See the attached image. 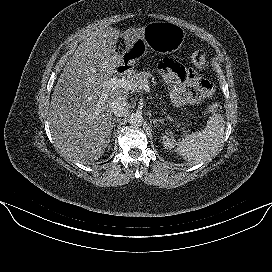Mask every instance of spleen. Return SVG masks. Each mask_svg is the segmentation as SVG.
I'll return each mask as SVG.
<instances>
[{
    "label": "spleen",
    "mask_w": 272,
    "mask_h": 272,
    "mask_svg": "<svg viewBox=\"0 0 272 272\" xmlns=\"http://www.w3.org/2000/svg\"><path fill=\"white\" fill-rule=\"evenodd\" d=\"M224 129V117L218 113L213 114L204 130L187 134L176 143V152L191 164L206 161L218 151Z\"/></svg>",
    "instance_id": "1"
}]
</instances>
